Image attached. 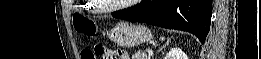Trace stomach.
I'll return each mask as SVG.
<instances>
[{"instance_id":"stomach-1","label":"stomach","mask_w":261,"mask_h":59,"mask_svg":"<svg viewBox=\"0 0 261 59\" xmlns=\"http://www.w3.org/2000/svg\"><path fill=\"white\" fill-rule=\"evenodd\" d=\"M108 38L122 47H134L151 40L149 28L141 24L122 21L116 24L107 34Z\"/></svg>"}]
</instances>
